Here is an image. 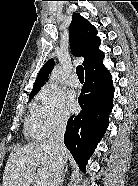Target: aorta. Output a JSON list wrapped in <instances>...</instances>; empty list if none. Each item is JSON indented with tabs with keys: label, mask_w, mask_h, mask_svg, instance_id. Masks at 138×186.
Returning <instances> with one entry per match:
<instances>
[{
	"label": "aorta",
	"mask_w": 138,
	"mask_h": 186,
	"mask_svg": "<svg viewBox=\"0 0 138 186\" xmlns=\"http://www.w3.org/2000/svg\"><path fill=\"white\" fill-rule=\"evenodd\" d=\"M49 82L52 87H56L60 83V68L55 66L49 76Z\"/></svg>",
	"instance_id": "aorta-1"
}]
</instances>
